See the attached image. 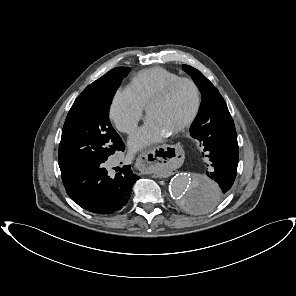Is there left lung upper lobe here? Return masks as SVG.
Instances as JSON below:
<instances>
[{
	"label": "left lung upper lobe",
	"instance_id": "1",
	"mask_svg": "<svg viewBox=\"0 0 296 296\" xmlns=\"http://www.w3.org/2000/svg\"><path fill=\"white\" fill-rule=\"evenodd\" d=\"M183 70L192 77L202 94L199 112L190 128L191 136L201 141L198 137L201 126L208 123L211 117L226 104L219 91L200 71L188 65H183Z\"/></svg>",
	"mask_w": 296,
	"mask_h": 296
}]
</instances>
